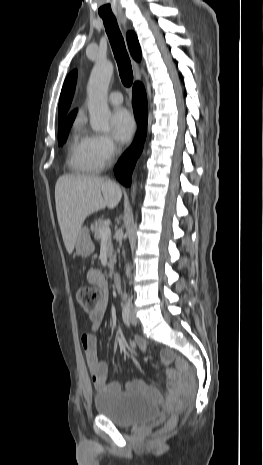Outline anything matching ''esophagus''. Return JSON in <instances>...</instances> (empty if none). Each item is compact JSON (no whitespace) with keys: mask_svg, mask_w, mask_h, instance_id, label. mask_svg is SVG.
I'll return each mask as SVG.
<instances>
[{"mask_svg":"<svg viewBox=\"0 0 263 465\" xmlns=\"http://www.w3.org/2000/svg\"><path fill=\"white\" fill-rule=\"evenodd\" d=\"M118 20L119 22L122 24V26L126 29V25H127V18L125 15L121 14L118 16ZM133 67H134V70H135V78L136 80H140L141 79V75H140V72H139V65L137 62H133Z\"/></svg>","mask_w":263,"mask_h":465,"instance_id":"obj_1","label":"esophagus"}]
</instances>
